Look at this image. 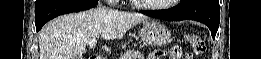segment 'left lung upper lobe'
<instances>
[{
  "label": "left lung upper lobe",
  "mask_w": 261,
  "mask_h": 59,
  "mask_svg": "<svg viewBox=\"0 0 261 59\" xmlns=\"http://www.w3.org/2000/svg\"><path fill=\"white\" fill-rule=\"evenodd\" d=\"M193 0H181V4H184V3H188V2H191Z\"/></svg>",
  "instance_id": "obj_1"
}]
</instances>
